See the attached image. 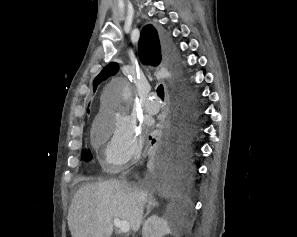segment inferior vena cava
Returning <instances> with one entry per match:
<instances>
[{"label":"inferior vena cava","instance_id":"obj_1","mask_svg":"<svg viewBox=\"0 0 297 237\" xmlns=\"http://www.w3.org/2000/svg\"><path fill=\"white\" fill-rule=\"evenodd\" d=\"M123 183L127 185V182L126 181H123Z\"/></svg>","mask_w":297,"mask_h":237}]
</instances>
